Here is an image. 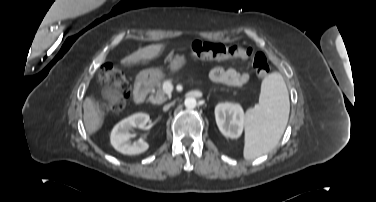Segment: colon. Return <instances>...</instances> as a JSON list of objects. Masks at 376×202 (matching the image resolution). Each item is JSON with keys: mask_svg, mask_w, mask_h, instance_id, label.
<instances>
[{"mask_svg": "<svg viewBox=\"0 0 376 202\" xmlns=\"http://www.w3.org/2000/svg\"><path fill=\"white\" fill-rule=\"evenodd\" d=\"M191 57L198 60H224L240 58L252 62L256 74L263 78L270 72V67L265 55L261 52H254L251 48L240 43L225 45L218 42L194 41L189 47ZM99 80L102 83L112 84L116 89V96L104 101L100 105L103 112H113L122 109L130 97V86L123 72L114 65L104 64L99 73Z\"/></svg>", "mask_w": 376, "mask_h": 202, "instance_id": "1", "label": "colon"}]
</instances>
